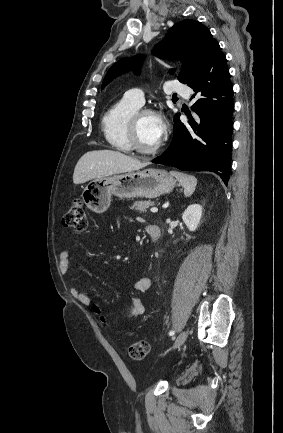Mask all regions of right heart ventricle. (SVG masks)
<instances>
[{
	"mask_svg": "<svg viewBox=\"0 0 283 433\" xmlns=\"http://www.w3.org/2000/svg\"><path fill=\"white\" fill-rule=\"evenodd\" d=\"M139 109V106L121 99L101 119V128L107 142L116 150L128 153L131 151L128 128L132 115Z\"/></svg>",
	"mask_w": 283,
	"mask_h": 433,
	"instance_id": "e07e8e85",
	"label": "right heart ventricle"
}]
</instances>
